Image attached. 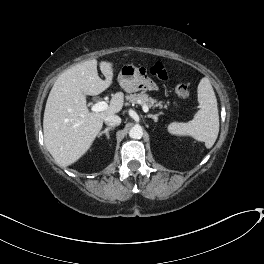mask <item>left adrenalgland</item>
Masks as SVG:
<instances>
[{"mask_svg": "<svg viewBox=\"0 0 264 264\" xmlns=\"http://www.w3.org/2000/svg\"><path fill=\"white\" fill-rule=\"evenodd\" d=\"M161 113H158V114H148L147 117L148 118H152L154 120V122H157L158 121V116L160 115Z\"/></svg>", "mask_w": 264, "mask_h": 264, "instance_id": "left-adrenal-gland-1", "label": "left adrenal gland"}]
</instances>
